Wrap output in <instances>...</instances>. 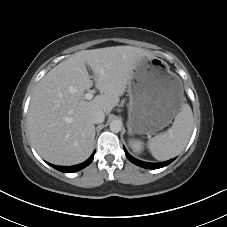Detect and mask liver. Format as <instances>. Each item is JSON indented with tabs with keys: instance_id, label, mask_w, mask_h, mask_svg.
<instances>
[{
	"instance_id": "6515ba94",
	"label": "liver",
	"mask_w": 227,
	"mask_h": 227,
	"mask_svg": "<svg viewBox=\"0 0 227 227\" xmlns=\"http://www.w3.org/2000/svg\"><path fill=\"white\" fill-rule=\"evenodd\" d=\"M148 51L113 46L75 53L51 69L38 83L28 110V133L38 154L56 165L85 161L94 148V110L109 114L126 91L135 63ZM86 64L94 72L101 92L85 101L93 86Z\"/></svg>"
}]
</instances>
